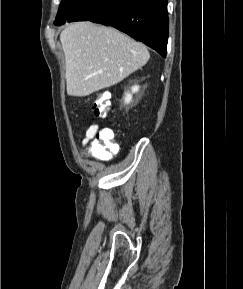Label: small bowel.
Listing matches in <instances>:
<instances>
[{
  "label": "small bowel",
  "mask_w": 243,
  "mask_h": 289,
  "mask_svg": "<svg viewBox=\"0 0 243 289\" xmlns=\"http://www.w3.org/2000/svg\"><path fill=\"white\" fill-rule=\"evenodd\" d=\"M99 133V126L96 123H92L86 130L85 136L82 140L83 145H87L91 142L95 136Z\"/></svg>",
  "instance_id": "obj_1"
}]
</instances>
